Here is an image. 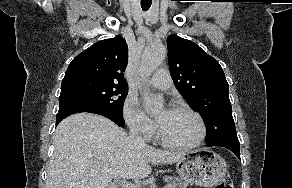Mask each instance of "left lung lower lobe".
<instances>
[{"label": "left lung lower lobe", "mask_w": 292, "mask_h": 188, "mask_svg": "<svg viewBox=\"0 0 292 188\" xmlns=\"http://www.w3.org/2000/svg\"><path fill=\"white\" fill-rule=\"evenodd\" d=\"M206 146L225 147L231 150L240 159L239 140L236 132H230L208 141L206 142Z\"/></svg>", "instance_id": "obj_1"}]
</instances>
